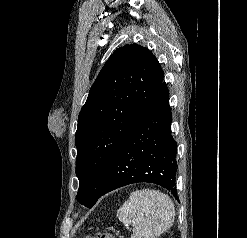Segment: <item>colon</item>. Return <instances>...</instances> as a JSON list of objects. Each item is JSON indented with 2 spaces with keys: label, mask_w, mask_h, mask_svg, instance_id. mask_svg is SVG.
<instances>
[{
  "label": "colon",
  "mask_w": 247,
  "mask_h": 238,
  "mask_svg": "<svg viewBox=\"0 0 247 238\" xmlns=\"http://www.w3.org/2000/svg\"><path fill=\"white\" fill-rule=\"evenodd\" d=\"M86 238H116V237L112 233L99 232L95 236H87Z\"/></svg>",
  "instance_id": "obj_1"
}]
</instances>
